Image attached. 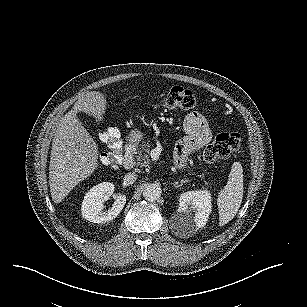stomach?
<instances>
[{
    "mask_svg": "<svg viewBox=\"0 0 307 307\" xmlns=\"http://www.w3.org/2000/svg\"><path fill=\"white\" fill-rule=\"evenodd\" d=\"M141 138V133L139 131H132V134H131V142L132 143H137Z\"/></svg>",
    "mask_w": 307,
    "mask_h": 307,
    "instance_id": "obj_1",
    "label": "stomach"
}]
</instances>
